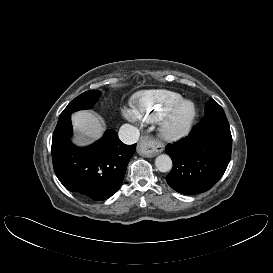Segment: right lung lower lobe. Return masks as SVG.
<instances>
[{"mask_svg": "<svg viewBox=\"0 0 273 273\" xmlns=\"http://www.w3.org/2000/svg\"><path fill=\"white\" fill-rule=\"evenodd\" d=\"M71 116L58 120L52 138L54 171L66 189L95 201L115 194L123 181L136 144L122 143L113 130L91 146L79 148L70 141Z\"/></svg>", "mask_w": 273, "mask_h": 273, "instance_id": "obj_1", "label": "right lung lower lobe"}]
</instances>
